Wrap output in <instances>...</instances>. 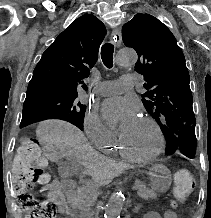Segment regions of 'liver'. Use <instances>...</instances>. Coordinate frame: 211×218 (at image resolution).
I'll return each mask as SVG.
<instances>
[{"instance_id": "6515ba94", "label": "liver", "mask_w": 211, "mask_h": 218, "mask_svg": "<svg viewBox=\"0 0 211 218\" xmlns=\"http://www.w3.org/2000/svg\"><path fill=\"white\" fill-rule=\"evenodd\" d=\"M36 136L43 140L45 148L53 152L55 158H74L85 166V174L92 176L94 182L110 184L113 178L122 174L125 164H115L114 160L98 154L87 144L83 132L76 126L62 120H47L40 122Z\"/></svg>"}]
</instances>
